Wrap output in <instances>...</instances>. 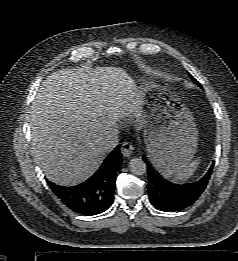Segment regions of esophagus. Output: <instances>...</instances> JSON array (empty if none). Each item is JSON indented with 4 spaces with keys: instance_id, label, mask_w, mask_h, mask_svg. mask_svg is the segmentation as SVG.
<instances>
[{
    "instance_id": "1",
    "label": "esophagus",
    "mask_w": 238,
    "mask_h": 261,
    "mask_svg": "<svg viewBox=\"0 0 238 261\" xmlns=\"http://www.w3.org/2000/svg\"><path fill=\"white\" fill-rule=\"evenodd\" d=\"M133 150L134 147L128 142H124L121 145V153L124 157H129L133 153Z\"/></svg>"
}]
</instances>
